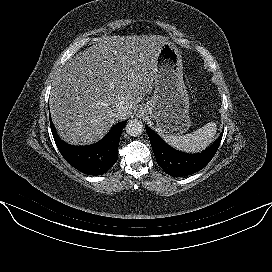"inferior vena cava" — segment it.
Wrapping results in <instances>:
<instances>
[{
	"label": "inferior vena cava",
	"mask_w": 272,
	"mask_h": 272,
	"mask_svg": "<svg viewBox=\"0 0 272 272\" xmlns=\"http://www.w3.org/2000/svg\"><path fill=\"white\" fill-rule=\"evenodd\" d=\"M116 112L118 114H124L128 111V107L122 103L116 105Z\"/></svg>",
	"instance_id": "obj_1"
}]
</instances>
